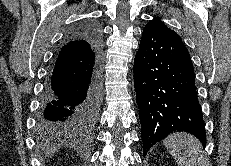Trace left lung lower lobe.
<instances>
[{"mask_svg":"<svg viewBox=\"0 0 231 166\" xmlns=\"http://www.w3.org/2000/svg\"><path fill=\"white\" fill-rule=\"evenodd\" d=\"M133 72L144 153L175 131L206 142L194 69L180 38L145 27Z\"/></svg>","mask_w":231,"mask_h":166,"instance_id":"1","label":"left lung lower lobe"}]
</instances>
